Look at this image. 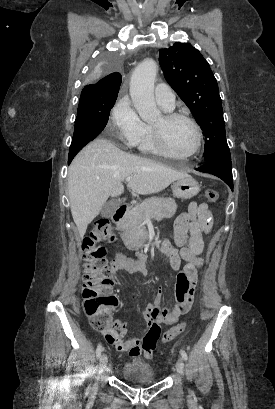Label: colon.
Segmentation results:
<instances>
[{"label": "colon", "instance_id": "1", "mask_svg": "<svg viewBox=\"0 0 275 409\" xmlns=\"http://www.w3.org/2000/svg\"><path fill=\"white\" fill-rule=\"evenodd\" d=\"M207 203H215L218 192L207 190L204 193ZM112 241L108 222L99 220L84 237L80 251L86 260V272L82 283L83 311L89 319L93 330H106L107 325H113L112 311L119 306L118 297L112 292L118 283L114 276L118 265L119 269H129L133 265L126 262L124 256H112L110 262L104 258L106 245ZM186 327L184 321L179 322L162 335V343H168L179 336Z\"/></svg>", "mask_w": 275, "mask_h": 409}]
</instances>
